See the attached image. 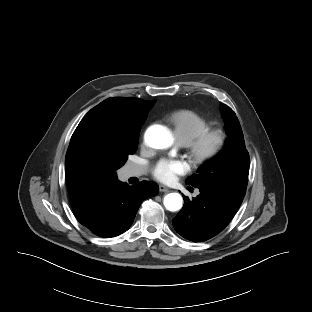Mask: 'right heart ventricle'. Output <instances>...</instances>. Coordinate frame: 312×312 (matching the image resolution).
<instances>
[{"instance_id": "right-heart-ventricle-1", "label": "right heart ventricle", "mask_w": 312, "mask_h": 312, "mask_svg": "<svg viewBox=\"0 0 312 312\" xmlns=\"http://www.w3.org/2000/svg\"><path fill=\"white\" fill-rule=\"evenodd\" d=\"M169 119L174 125L177 138L185 144L210 127V121L193 110L176 111Z\"/></svg>"}]
</instances>
